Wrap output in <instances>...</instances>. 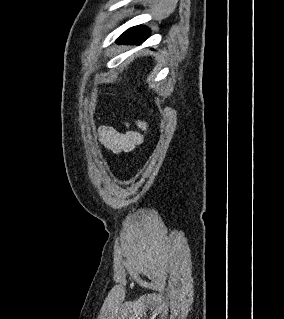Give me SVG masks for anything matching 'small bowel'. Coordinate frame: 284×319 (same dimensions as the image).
I'll return each mask as SVG.
<instances>
[{
    "label": "small bowel",
    "instance_id": "1",
    "mask_svg": "<svg viewBox=\"0 0 284 319\" xmlns=\"http://www.w3.org/2000/svg\"><path fill=\"white\" fill-rule=\"evenodd\" d=\"M138 127L146 131L147 125L143 121L138 122ZM100 141L105 149L115 154L130 152L143 142L144 136L140 131H121L111 126H102L99 130Z\"/></svg>",
    "mask_w": 284,
    "mask_h": 319
}]
</instances>
